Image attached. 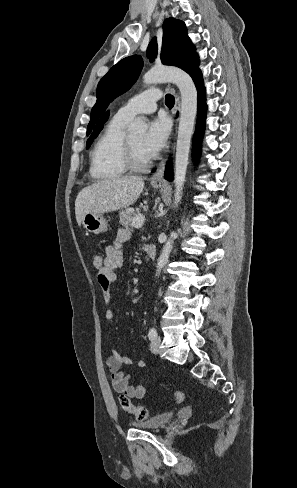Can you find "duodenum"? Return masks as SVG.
I'll use <instances>...</instances> for the list:
<instances>
[{
  "label": "duodenum",
  "instance_id": "duodenum-1",
  "mask_svg": "<svg viewBox=\"0 0 297 488\" xmlns=\"http://www.w3.org/2000/svg\"><path fill=\"white\" fill-rule=\"evenodd\" d=\"M146 253H147V256H148V258H149L150 260L154 259V258H155V256H156V251H155V249H154L152 246H150V245H147V246H146Z\"/></svg>",
  "mask_w": 297,
  "mask_h": 488
}]
</instances>
